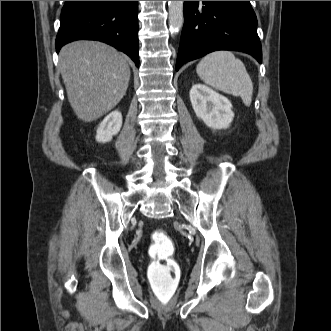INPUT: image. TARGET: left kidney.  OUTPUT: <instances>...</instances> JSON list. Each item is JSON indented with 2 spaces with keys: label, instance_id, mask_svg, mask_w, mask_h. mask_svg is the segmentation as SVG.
<instances>
[{
  "label": "left kidney",
  "instance_id": "1",
  "mask_svg": "<svg viewBox=\"0 0 331 331\" xmlns=\"http://www.w3.org/2000/svg\"><path fill=\"white\" fill-rule=\"evenodd\" d=\"M190 100L196 116L210 128L226 129L233 121L231 102L203 84L192 86Z\"/></svg>",
  "mask_w": 331,
  "mask_h": 331
}]
</instances>
